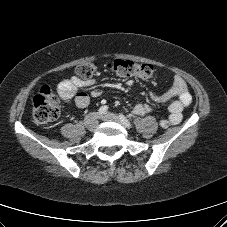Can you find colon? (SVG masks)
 Wrapping results in <instances>:
<instances>
[{
    "label": "colon",
    "instance_id": "5ec220e1",
    "mask_svg": "<svg viewBox=\"0 0 227 227\" xmlns=\"http://www.w3.org/2000/svg\"><path fill=\"white\" fill-rule=\"evenodd\" d=\"M109 71L125 77H139L153 79L155 69L150 64L136 63L130 60L112 59L106 64ZM77 74L82 78H89L95 72L92 63H85L77 67ZM60 114V104L57 96L48 86H43L33 99L32 116L35 122L40 124L50 123L56 120Z\"/></svg>",
    "mask_w": 227,
    "mask_h": 227
}]
</instances>
